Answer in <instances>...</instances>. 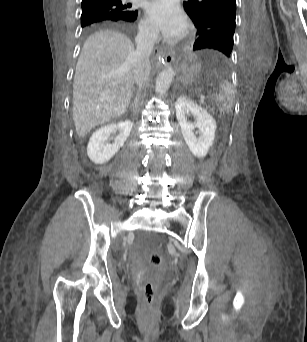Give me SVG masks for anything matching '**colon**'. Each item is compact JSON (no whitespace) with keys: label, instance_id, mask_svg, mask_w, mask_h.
I'll return each mask as SVG.
<instances>
[{"label":"colon","instance_id":"5ec220e1","mask_svg":"<svg viewBox=\"0 0 307 342\" xmlns=\"http://www.w3.org/2000/svg\"><path fill=\"white\" fill-rule=\"evenodd\" d=\"M146 255L151 262V268L156 269H149L151 281H144L141 294L142 307H157L156 288L162 287V282L158 281L157 276H163L166 273V261H162V258L155 252L146 251Z\"/></svg>","mask_w":307,"mask_h":342}]
</instances>
